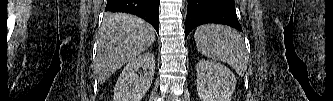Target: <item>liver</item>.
Wrapping results in <instances>:
<instances>
[{
    "instance_id": "liver-1",
    "label": "liver",
    "mask_w": 333,
    "mask_h": 101,
    "mask_svg": "<svg viewBox=\"0 0 333 101\" xmlns=\"http://www.w3.org/2000/svg\"><path fill=\"white\" fill-rule=\"evenodd\" d=\"M154 28L143 19L126 13L107 14L102 22L94 70L105 82L128 61L155 41Z\"/></svg>"
}]
</instances>
